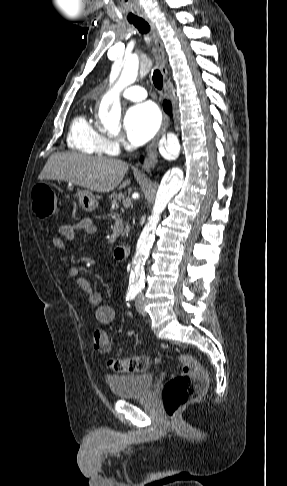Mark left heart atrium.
I'll list each match as a JSON object with an SVG mask.
<instances>
[{"instance_id":"left-heart-atrium-1","label":"left heart atrium","mask_w":287,"mask_h":486,"mask_svg":"<svg viewBox=\"0 0 287 486\" xmlns=\"http://www.w3.org/2000/svg\"><path fill=\"white\" fill-rule=\"evenodd\" d=\"M161 117L152 103L132 106L124 117V129L129 142L139 146L146 143L157 132Z\"/></svg>"}]
</instances>
